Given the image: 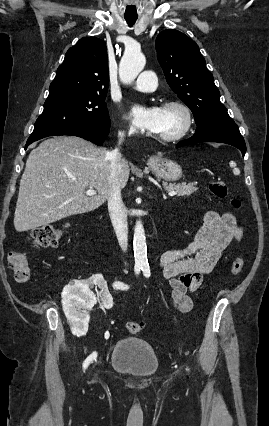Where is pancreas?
<instances>
[{
    "label": "pancreas",
    "instance_id": "1",
    "mask_svg": "<svg viewBox=\"0 0 269 426\" xmlns=\"http://www.w3.org/2000/svg\"><path fill=\"white\" fill-rule=\"evenodd\" d=\"M165 189L167 191H175L177 196H188L192 193L196 192L198 188L196 187V183L191 182L188 184L182 183V184H167L163 183Z\"/></svg>",
    "mask_w": 269,
    "mask_h": 426
}]
</instances>
